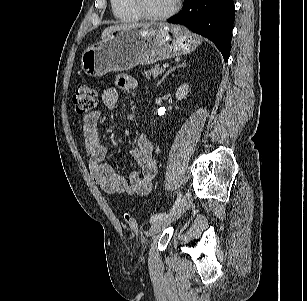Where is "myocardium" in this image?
I'll return each mask as SVG.
<instances>
[{
    "instance_id": "obj_1",
    "label": "myocardium",
    "mask_w": 307,
    "mask_h": 301,
    "mask_svg": "<svg viewBox=\"0 0 307 301\" xmlns=\"http://www.w3.org/2000/svg\"><path fill=\"white\" fill-rule=\"evenodd\" d=\"M130 1H131L132 7L141 16V18H144L150 21H161V20H166L172 17L179 10L180 2H181V0H174L169 10H167L164 13L154 14L146 10L143 4V0H130Z\"/></svg>"
}]
</instances>
